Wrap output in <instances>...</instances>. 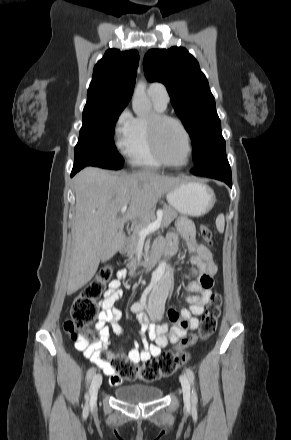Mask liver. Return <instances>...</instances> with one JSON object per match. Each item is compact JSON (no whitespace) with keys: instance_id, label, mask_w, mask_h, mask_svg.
I'll list each match as a JSON object with an SVG mask.
<instances>
[{"instance_id":"1","label":"liver","mask_w":291,"mask_h":440,"mask_svg":"<svg viewBox=\"0 0 291 440\" xmlns=\"http://www.w3.org/2000/svg\"><path fill=\"white\" fill-rule=\"evenodd\" d=\"M181 181L151 170L119 174L87 167L80 171L74 178L75 222L67 293L86 285L100 261L122 246L119 225L146 218L158 200ZM127 205L129 210L120 220L118 213Z\"/></svg>"}]
</instances>
